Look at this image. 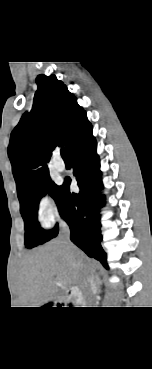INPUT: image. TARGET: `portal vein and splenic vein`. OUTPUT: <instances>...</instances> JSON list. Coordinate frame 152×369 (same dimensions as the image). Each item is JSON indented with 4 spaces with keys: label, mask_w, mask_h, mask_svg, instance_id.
I'll return each mask as SVG.
<instances>
[{
    "label": "portal vein and splenic vein",
    "mask_w": 152,
    "mask_h": 369,
    "mask_svg": "<svg viewBox=\"0 0 152 369\" xmlns=\"http://www.w3.org/2000/svg\"><path fill=\"white\" fill-rule=\"evenodd\" d=\"M61 284V281L60 280H57L56 281V285H60Z\"/></svg>",
    "instance_id": "portal-vein-and-splenic-vein-1"
}]
</instances>
